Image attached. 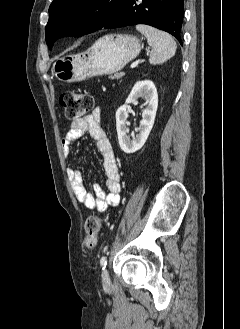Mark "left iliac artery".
Segmentation results:
<instances>
[{
    "label": "left iliac artery",
    "mask_w": 240,
    "mask_h": 329,
    "mask_svg": "<svg viewBox=\"0 0 240 329\" xmlns=\"http://www.w3.org/2000/svg\"><path fill=\"white\" fill-rule=\"evenodd\" d=\"M100 264H101V266L103 267V270H104L106 265H107V257L106 256L101 257Z\"/></svg>",
    "instance_id": "1"
}]
</instances>
